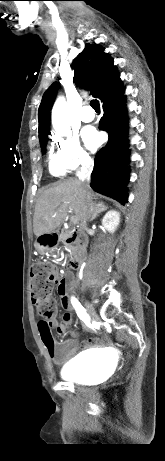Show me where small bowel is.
<instances>
[{
	"label": "small bowel",
	"instance_id": "1",
	"mask_svg": "<svg viewBox=\"0 0 165 461\" xmlns=\"http://www.w3.org/2000/svg\"><path fill=\"white\" fill-rule=\"evenodd\" d=\"M56 288L58 290V298L61 299L62 307L66 310V312L62 316L61 322L58 321L56 315L48 319L47 322L51 328H55L57 330L59 335L63 336L69 333L72 338L63 342L54 341L53 347L46 345L42 339V336L41 339L50 358L55 363H59L70 359L80 350H85L92 346H96L99 341L96 338H90L81 343L76 341L78 335L74 330H71L73 316L69 312L72 305L69 299L70 293L67 288V279L65 277H58ZM86 327L89 328L88 326Z\"/></svg>",
	"mask_w": 165,
	"mask_h": 461
}]
</instances>
